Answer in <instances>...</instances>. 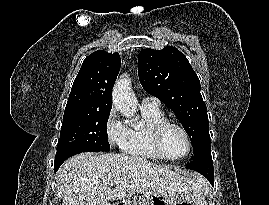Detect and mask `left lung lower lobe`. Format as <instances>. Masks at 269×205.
<instances>
[{"mask_svg": "<svg viewBox=\"0 0 269 205\" xmlns=\"http://www.w3.org/2000/svg\"><path fill=\"white\" fill-rule=\"evenodd\" d=\"M186 168L199 172L200 174L204 175L212 185L214 184V170L211 150L201 153L198 157L193 159L186 166Z\"/></svg>", "mask_w": 269, "mask_h": 205, "instance_id": "left-lung-lower-lobe-1", "label": "left lung lower lobe"}]
</instances>
